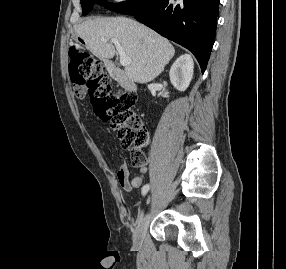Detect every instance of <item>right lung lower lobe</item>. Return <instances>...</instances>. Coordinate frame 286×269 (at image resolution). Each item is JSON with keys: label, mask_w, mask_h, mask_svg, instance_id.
I'll return each mask as SVG.
<instances>
[{"label": "right lung lower lobe", "mask_w": 286, "mask_h": 269, "mask_svg": "<svg viewBox=\"0 0 286 269\" xmlns=\"http://www.w3.org/2000/svg\"><path fill=\"white\" fill-rule=\"evenodd\" d=\"M219 1L178 0L174 3L172 0H157L151 8L134 16L162 36L190 50L204 72L215 41Z\"/></svg>", "instance_id": "right-lung-lower-lobe-1"}]
</instances>
